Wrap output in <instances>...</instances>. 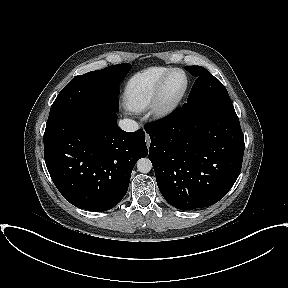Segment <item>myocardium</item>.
<instances>
[{"label": "myocardium", "instance_id": "myocardium-1", "mask_svg": "<svg viewBox=\"0 0 288 288\" xmlns=\"http://www.w3.org/2000/svg\"><path fill=\"white\" fill-rule=\"evenodd\" d=\"M175 72H180L183 74L185 82H184V86L182 88V90L180 91V93L174 97L173 99H167L165 96V88L167 85V82L170 78V76L175 73ZM188 85H189V80H188V76L187 73L180 69V68H172L170 69L160 80L153 100L150 104V111L151 114L158 119L167 117L168 115H170L171 113H173L177 107L179 106V104L181 103V101L183 100L187 89H188Z\"/></svg>", "mask_w": 288, "mask_h": 288}]
</instances>
